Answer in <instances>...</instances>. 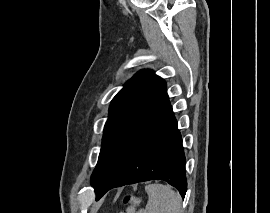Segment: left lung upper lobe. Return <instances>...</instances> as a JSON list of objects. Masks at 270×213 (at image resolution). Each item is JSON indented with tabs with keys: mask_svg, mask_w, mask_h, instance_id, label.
Listing matches in <instances>:
<instances>
[{
	"mask_svg": "<svg viewBox=\"0 0 270 213\" xmlns=\"http://www.w3.org/2000/svg\"><path fill=\"white\" fill-rule=\"evenodd\" d=\"M168 98L165 81L141 70L113 98L91 183L96 188L139 125Z\"/></svg>",
	"mask_w": 270,
	"mask_h": 213,
	"instance_id": "obj_1",
	"label": "left lung upper lobe"
}]
</instances>
